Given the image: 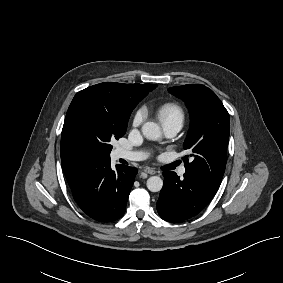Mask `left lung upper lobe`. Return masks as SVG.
<instances>
[{
	"label": "left lung upper lobe",
	"mask_w": 283,
	"mask_h": 283,
	"mask_svg": "<svg viewBox=\"0 0 283 283\" xmlns=\"http://www.w3.org/2000/svg\"><path fill=\"white\" fill-rule=\"evenodd\" d=\"M168 91L185 101L192 118L184 149L191 151L192 162L184 157L186 172L218 190L227 162L229 114L209 88L199 84L171 87Z\"/></svg>",
	"instance_id": "5c2ea615"
}]
</instances>
